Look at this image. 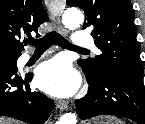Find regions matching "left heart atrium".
<instances>
[{"label":"left heart atrium","mask_w":145,"mask_h":124,"mask_svg":"<svg viewBox=\"0 0 145 124\" xmlns=\"http://www.w3.org/2000/svg\"><path fill=\"white\" fill-rule=\"evenodd\" d=\"M36 83L51 95L69 97L77 91L80 78L66 59L56 57L38 67Z\"/></svg>","instance_id":"left-heart-atrium-1"}]
</instances>
